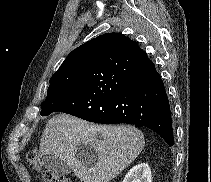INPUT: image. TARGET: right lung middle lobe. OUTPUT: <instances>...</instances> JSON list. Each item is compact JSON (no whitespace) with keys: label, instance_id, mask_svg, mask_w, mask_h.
I'll list each match as a JSON object with an SVG mask.
<instances>
[{"label":"right lung middle lobe","instance_id":"obj_1","mask_svg":"<svg viewBox=\"0 0 211 182\" xmlns=\"http://www.w3.org/2000/svg\"><path fill=\"white\" fill-rule=\"evenodd\" d=\"M86 67V63L66 67L51 77L46 100L41 103V116H47L54 112L55 103L70 96L75 91L81 82Z\"/></svg>","mask_w":211,"mask_h":182}]
</instances>
